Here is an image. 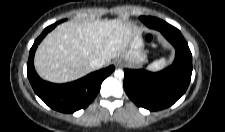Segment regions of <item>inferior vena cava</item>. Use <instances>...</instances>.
<instances>
[{
  "label": "inferior vena cava",
  "mask_w": 225,
  "mask_h": 132,
  "mask_svg": "<svg viewBox=\"0 0 225 132\" xmlns=\"http://www.w3.org/2000/svg\"><path fill=\"white\" fill-rule=\"evenodd\" d=\"M105 64L104 59L102 58H95L90 62V67L92 69H99Z\"/></svg>",
  "instance_id": "inferior-vena-cava-1"
}]
</instances>
